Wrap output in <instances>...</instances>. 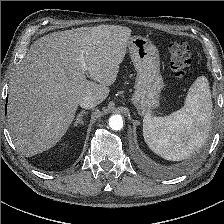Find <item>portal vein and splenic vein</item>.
I'll return each instance as SVG.
<instances>
[{"label":"portal vein and splenic vein","mask_w":224,"mask_h":224,"mask_svg":"<svg viewBox=\"0 0 224 224\" xmlns=\"http://www.w3.org/2000/svg\"><path fill=\"white\" fill-rule=\"evenodd\" d=\"M85 51L83 50L82 52H81V54H80V63H81V65H82V67L83 68H85L86 67V64H85Z\"/></svg>","instance_id":"obj_1"}]
</instances>
